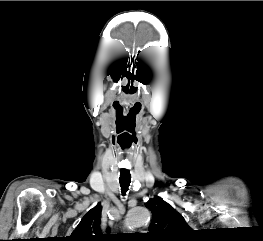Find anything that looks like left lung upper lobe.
Here are the masks:
<instances>
[{
  "label": "left lung upper lobe",
  "instance_id": "left-lung-upper-lobe-1",
  "mask_svg": "<svg viewBox=\"0 0 263 241\" xmlns=\"http://www.w3.org/2000/svg\"><path fill=\"white\" fill-rule=\"evenodd\" d=\"M145 206L152 212L148 236L157 241H187L193 230L183 216L162 198L156 196Z\"/></svg>",
  "mask_w": 263,
  "mask_h": 241
}]
</instances>
